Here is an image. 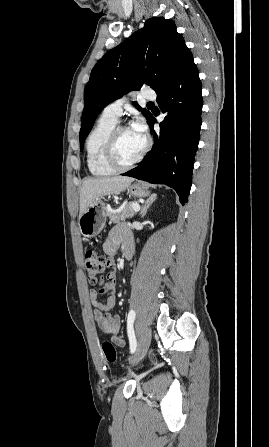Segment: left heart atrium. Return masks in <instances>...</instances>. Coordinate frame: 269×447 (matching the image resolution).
<instances>
[{
  "instance_id": "left-heart-atrium-1",
  "label": "left heart atrium",
  "mask_w": 269,
  "mask_h": 447,
  "mask_svg": "<svg viewBox=\"0 0 269 447\" xmlns=\"http://www.w3.org/2000/svg\"><path fill=\"white\" fill-rule=\"evenodd\" d=\"M131 127L146 136L147 128L142 118H137L135 121H133Z\"/></svg>"
}]
</instances>
